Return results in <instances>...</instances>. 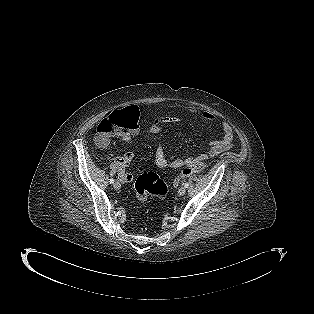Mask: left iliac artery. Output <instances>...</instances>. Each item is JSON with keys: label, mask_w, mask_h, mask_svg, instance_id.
<instances>
[{"label": "left iliac artery", "mask_w": 314, "mask_h": 314, "mask_svg": "<svg viewBox=\"0 0 314 314\" xmlns=\"http://www.w3.org/2000/svg\"><path fill=\"white\" fill-rule=\"evenodd\" d=\"M188 186H189V183L186 182V183L184 184V187H185V188H188Z\"/></svg>", "instance_id": "1"}]
</instances>
